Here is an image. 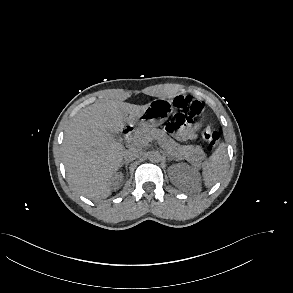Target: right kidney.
I'll list each match as a JSON object with an SVG mask.
<instances>
[{"label":"right kidney","mask_w":293,"mask_h":293,"mask_svg":"<svg viewBox=\"0 0 293 293\" xmlns=\"http://www.w3.org/2000/svg\"><path fill=\"white\" fill-rule=\"evenodd\" d=\"M118 177L121 178V177H122L121 174H120V175H119V174H116V175H115V178H118Z\"/></svg>","instance_id":"ca27d5eb"}]
</instances>
